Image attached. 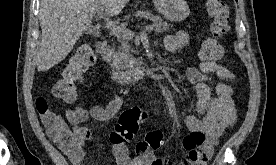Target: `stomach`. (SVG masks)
<instances>
[{
	"mask_svg": "<svg viewBox=\"0 0 276 165\" xmlns=\"http://www.w3.org/2000/svg\"><path fill=\"white\" fill-rule=\"evenodd\" d=\"M153 3L157 11L172 22L183 21L190 13L185 0H153Z\"/></svg>",
	"mask_w": 276,
	"mask_h": 165,
	"instance_id": "0dacf381",
	"label": "stomach"
}]
</instances>
